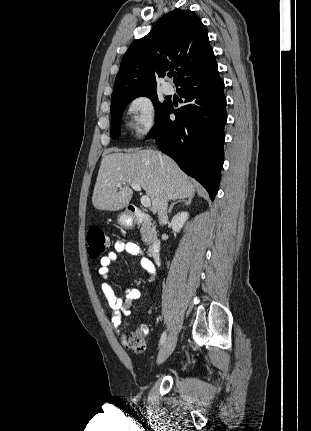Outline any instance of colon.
<instances>
[{"label": "colon", "mask_w": 311, "mask_h": 431, "mask_svg": "<svg viewBox=\"0 0 311 431\" xmlns=\"http://www.w3.org/2000/svg\"><path fill=\"white\" fill-rule=\"evenodd\" d=\"M88 255L91 259H98L111 246L110 237L100 228L91 229L87 235ZM148 329L146 326H139L133 329L127 340L126 346L136 354H143L146 351Z\"/></svg>", "instance_id": "obj_1"}]
</instances>
